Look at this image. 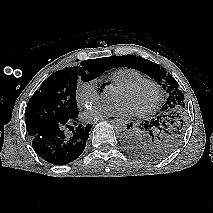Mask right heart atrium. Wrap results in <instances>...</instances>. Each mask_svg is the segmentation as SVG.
<instances>
[{
  "label": "right heart atrium",
  "mask_w": 213,
  "mask_h": 213,
  "mask_svg": "<svg viewBox=\"0 0 213 213\" xmlns=\"http://www.w3.org/2000/svg\"><path fill=\"white\" fill-rule=\"evenodd\" d=\"M100 99L96 80L80 81L76 88V100L81 106H91Z\"/></svg>",
  "instance_id": "d8ad5b80"
}]
</instances>
